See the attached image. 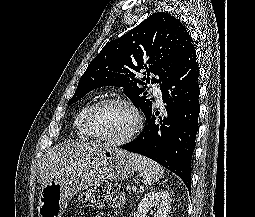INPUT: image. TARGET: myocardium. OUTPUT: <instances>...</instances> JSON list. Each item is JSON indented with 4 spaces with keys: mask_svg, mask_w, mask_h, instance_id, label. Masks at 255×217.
Returning <instances> with one entry per match:
<instances>
[{
    "mask_svg": "<svg viewBox=\"0 0 255 217\" xmlns=\"http://www.w3.org/2000/svg\"><path fill=\"white\" fill-rule=\"evenodd\" d=\"M111 104L122 105V106L129 108L133 112L134 117H135V124H134L133 128L131 129V131L125 137L118 139V140H110V139L103 137L96 129V127L94 125V121H93L95 113L100 108H102L106 105H111ZM85 121H86V126H87L89 132L93 135V137L95 139L99 140L100 142H102L106 145H109V146H122V145L129 143L130 141H132L135 138V136L139 133V131L141 130V128L143 126V118H142V115H141L139 109L130 100L125 99V98H120V97L106 98V99H102V100L94 103L88 109V111L86 113Z\"/></svg>",
    "mask_w": 255,
    "mask_h": 217,
    "instance_id": "f54148a6",
    "label": "myocardium"
}]
</instances>
